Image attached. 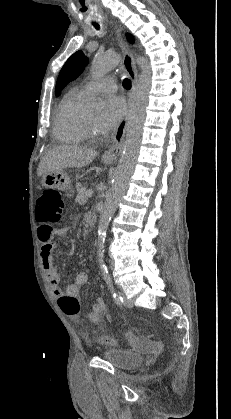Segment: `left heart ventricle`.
Instances as JSON below:
<instances>
[{
  "mask_svg": "<svg viewBox=\"0 0 231 419\" xmlns=\"http://www.w3.org/2000/svg\"><path fill=\"white\" fill-rule=\"evenodd\" d=\"M88 119L90 120V122L97 128V120H98V114L93 113V114H87Z\"/></svg>",
  "mask_w": 231,
  "mask_h": 419,
  "instance_id": "b2bd125f",
  "label": "left heart ventricle"
}]
</instances>
